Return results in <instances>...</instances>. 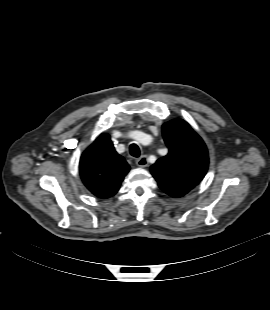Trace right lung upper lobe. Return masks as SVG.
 Returning <instances> with one entry per match:
<instances>
[{
	"label": "right lung upper lobe",
	"instance_id": "obj_1",
	"mask_svg": "<svg viewBox=\"0 0 270 310\" xmlns=\"http://www.w3.org/2000/svg\"><path fill=\"white\" fill-rule=\"evenodd\" d=\"M130 167L114 149L108 134H101L82 154L81 179L95 196L106 199L117 193Z\"/></svg>",
	"mask_w": 270,
	"mask_h": 310
}]
</instances>
